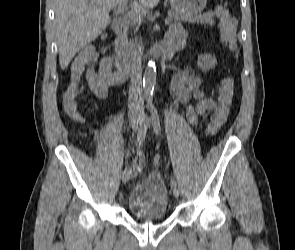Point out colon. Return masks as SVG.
<instances>
[{
    "mask_svg": "<svg viewBox=\"0 0 295 250\" xmlns=\"http://www.w3.org/2000/svg\"><path fill=\"white\" fill-rule=\"evenodd\" d=\"M218 16L220 18L219 28L220 37L223 46L230 52L235 50L236 42V22L231 18L227 12L219 7ZM87 51L92 52L93 47L86 48ZM79 94V80L71 79L70 83L64 93V109L65 112L74 120L82 121V117L78 112L76 99ZM234 94V82L231 78H225L219 88L218 108L208 126V132L215 134L225 123L228 118L232 98Z\"/></svg>",
    "mask_w": 295,
    "mask_h": 250,
    "instance_id": "1",
    "label": "colon"
}]
</instances>
